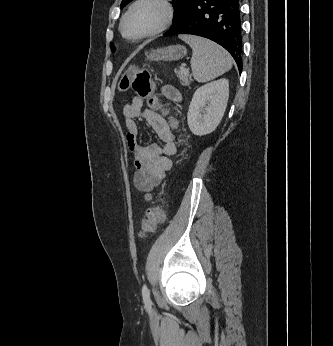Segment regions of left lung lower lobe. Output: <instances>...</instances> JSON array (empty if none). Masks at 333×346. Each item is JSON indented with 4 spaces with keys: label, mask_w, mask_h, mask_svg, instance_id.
Masks as SVG:
<instances>
[{
    "label": "left lung lower lobe",
    "mask_w": 333,
    "mask_h": 346,
    "mask_svg": "<svg viewBox=\"0 0 333 346\" xmlns=\"http://www.w3.org/2000/svg\"><path fill=\"white\" fill-rule=\"evenodd\" d=\"M192 34L224 47L242 69V29L239 0H193L185 17L163 35Z\"/></svg>",
    "instance_id": "obj_1"
}]
</instances>
